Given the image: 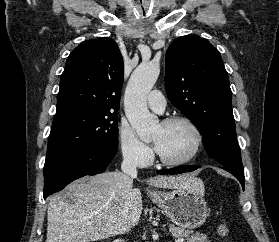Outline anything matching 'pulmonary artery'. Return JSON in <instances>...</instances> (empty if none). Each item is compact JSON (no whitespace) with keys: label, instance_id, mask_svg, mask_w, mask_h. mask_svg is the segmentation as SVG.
Segmentation results:
<instances>
[{"label":"pulmonary artery","instance_id":"e3ab8cb5","mask_svg":"<svg viewBox=\"0 0 279 242\" xmlns=\"http://www.w3.org/2000/svg\"><path fill=\"white\" fill-rule=\"evenodd\" d=\"M148 106L156 111L163 112L166 107V100L163 94L158 90H153L147 98Z\"/></svg>","mask_w":279,"mask_h":242}]
</instances>
